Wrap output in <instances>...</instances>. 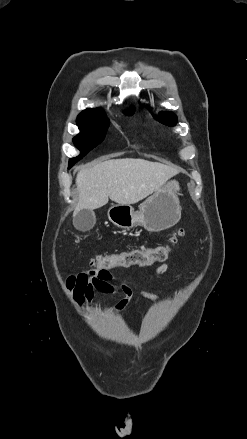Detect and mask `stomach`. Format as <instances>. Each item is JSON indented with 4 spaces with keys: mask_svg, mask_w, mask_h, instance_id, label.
I'll return each instance as SVG.
<instances>
[{
    "mask_svg": "<svg viewBox=\"0 0 247 439\" xmlns=\"http://www.w3.org/2000/svg\"><path fill=\"white\" fill-rule=\"evenodd\" d=\"M180 186L176 180L165 182L135 211L131 205L117 204L108 210L109 220L119 228L130 229L141 225L150 232L174 226L181 217Z\"/></svg>",
    "mask_w": 247,
    "mask_h": 439,
    "instance_id": "0dacf381",
    "label": "stomach"
}]
</instances>
